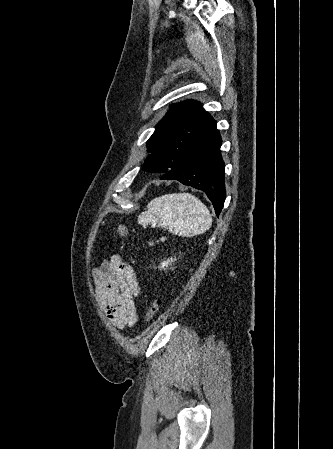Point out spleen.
Returning a JSON list of instances; mask_svg holds the SVG:
<instances>
[{
	"label": "spleen",
	"mask_w": 333,
	"mask_h": 449,
	"mask_svg": "<svg viewBox=\"0 0 333 449\" xmlns=\"http://www.w3.org/2000/svg\"><path fill=\"white\" fill-rule=\"evenodd\" d=\"M138 223L158 225L181 236H196L208 230L212 216L205 204L191 193L165 194L151 200Z\"/></svg>",
	"instance_id": "spleen-1"
}]
</instances>
